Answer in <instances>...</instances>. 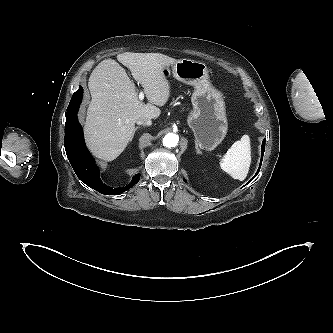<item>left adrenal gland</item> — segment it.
<instances>
[{
	"label": "left adrenal gland",
	"instance_id": "1",
	"mask_svg": "<svg viewBox=\"0 0 333 333\" xmlns=\"http://www.w3.org/2000/svg\"><path fill=\"white\" fill-rule=\"evenodd\" d=\"M195 147H196L197 152H200L197 143H196Z\"/></svg>",
	"mask_w": 333,
	"mask_h": 333
}]
</instances>
